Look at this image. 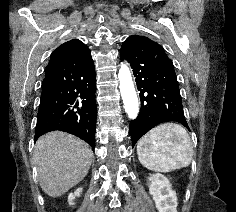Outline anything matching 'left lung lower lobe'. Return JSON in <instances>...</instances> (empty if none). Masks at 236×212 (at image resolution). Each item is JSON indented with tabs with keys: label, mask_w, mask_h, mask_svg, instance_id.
Segmentation results:
<instances>
[{
	"label": "left lung lower lobe",
	"mask_w": 236,
	"mask_h": 212,
	"mask_svg": "<svg viewBox=\"0 0 236 212\" xmlns=\"http://www.w3.org/2000/svg\"><path fill=\"white\" fill-rule=\"evenodd\" d=\"M120 59L130 63L140 91V112L129 127L133 146L160 123L175 121L190 130L174 65L163 47L146 36L131 35L122 44Z\"/></svg>",
	"instance_id": "1"
}]
</instances>
